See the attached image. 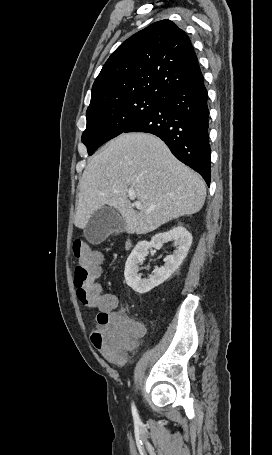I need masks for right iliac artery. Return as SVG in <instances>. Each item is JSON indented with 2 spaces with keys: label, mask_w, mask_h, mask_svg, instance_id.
<instances>
[{
  "label": "right iliac artery",
  "mask_w": 272,
  "mask_h": 455,
  "mask_svg": "<svg viewBox=\"0 0 272 455\" xmlns=\"http://www.w3.org/2000/svg\"><path fill=\"white\" fill-rule=\"evenodd\" d=\"M132 414H133L134 420L138 421L139 417H138V413H137V410H136V407H135L134 403L132 404Z\"/></svg>",
  "instance_id": "82829eb1"
}]
</instances>
